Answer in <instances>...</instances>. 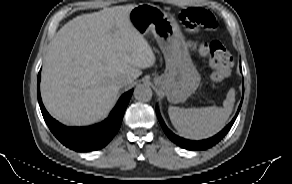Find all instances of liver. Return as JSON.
I'll return each mask as SVG.
<instances>
[{"label": "liver", "instance_id": "1", "mask_svg": "<svg viewBox=\"0 0 292 184\" xmlns=\"http://www.w3.org/2000/svg\"><path fill=\"white\" fill-rule=\"evenodd\" d=\"M133 5L77 16L56 34L46 55L40 91L52 117L85 126L107 116L117 81L129 84L155 63V55L129 19Z\"/></svg>", "mask_w": 292, "mask_h": 184}]
</instances>
